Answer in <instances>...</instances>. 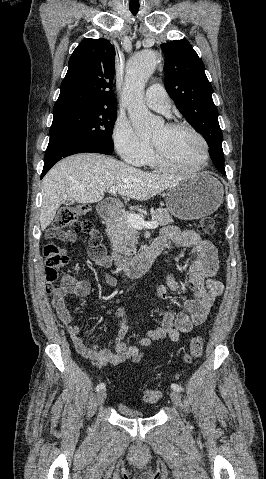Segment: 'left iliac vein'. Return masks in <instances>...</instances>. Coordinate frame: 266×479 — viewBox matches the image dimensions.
Listing matches in <instances>:
<instances>
[{
  "label": "left iliac vein",
  "mask_w": 266,
  "mask_h": 479,
  "mask_svg": "<svg viewBox=\"0 0 266 479\" xmlns=\"http://www.w3.org/2000/svg\"><path fill=\"white\" fill-rule=\"evenodd\" d=\"M170 398L177 407L181 406V395L178 391H172L170 394Z\"/></svg>",
  "instance_id": "left-iliac-vein-1"
}]
</instances>
